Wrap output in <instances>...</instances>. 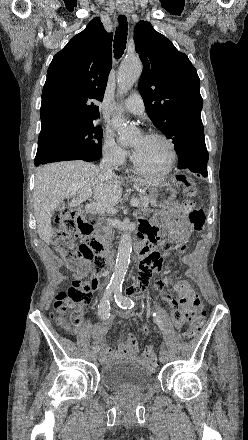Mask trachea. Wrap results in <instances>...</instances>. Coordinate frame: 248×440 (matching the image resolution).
<instances>
[{"label": "trachea", "instance_id": "obj_1", "mask_svg": "<svg viewBox=\"0 0 248 440\" xmlns=\"http://www.w3.org/2000/svg\"><path fill=\"white\" fill-rule=\"evenodd\" d=\"M119 26L116 28L114 38V58L119 59L126 48L128 22L124 15H120L118 18Z\"/></svg>", "mask_w": 248, "mask_h": 440}]
</instances>
